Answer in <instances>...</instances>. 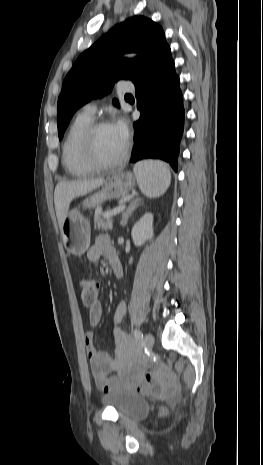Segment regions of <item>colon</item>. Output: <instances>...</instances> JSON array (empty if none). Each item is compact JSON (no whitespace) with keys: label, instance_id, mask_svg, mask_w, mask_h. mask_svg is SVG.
<instances>
[{"label":"colon","instance_id":"1","mask_svg":"<svg viewBox=\"0 0 263 465\" xmlns=\"http://www.w3.org/2000/svg\"><path fill=\"white\" fill-rule=\"evenodd\" d=\"M80 295L86 306H92L97 302L99 285L93 279H83L79 283ZM176 391L174 384L167 385L159 395H171Z\"/></svg>","mask_w":263,"mask_h":465}]
</instances>
